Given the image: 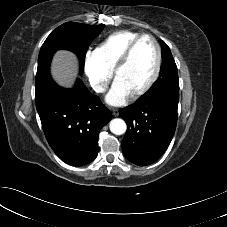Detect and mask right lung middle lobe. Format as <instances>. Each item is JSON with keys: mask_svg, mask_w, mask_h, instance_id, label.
I'll return each instance as SVG.
<instances>
[{"mask_svg": "<svg viewBox=\"0 0 227 227\" xmlns=\"http://www.w3.org/2000/svg\"><path fill=\"white\" fill-rule=\"evenodd\" d=\"M103 28V24L91 26L75 22H67L57 27L47 37L40 49L36 83L50 76L49 66L52 56L60 49L70 50L78 56L82 73L87 49Z\"/></svg>", "mask_w": 227, "mask_h": 227, "instance_id": "1", "label": "right lung middle lobe"}]
</instances>
